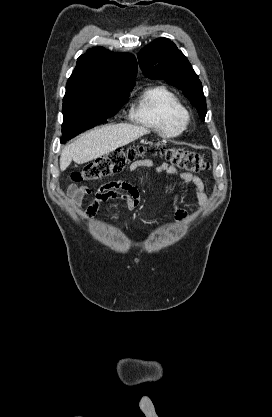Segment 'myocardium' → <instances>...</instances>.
<instances>
[{"mask_svg":"<svg viewBox=\"0 0 272 417\" xmlns=\"http://www.w3.org/2000/svg\"><path fill=\"white\" fill-rule=\"evenodd\" d=\"M188 120H189V117H188V115H187V117H186V123L188 122Z\"/></svg>","mask_w":272,"mask_h":417,"instance_id":"obj_1","label":"myocardium"}]
</instances>
